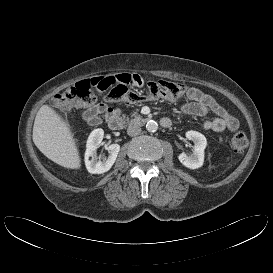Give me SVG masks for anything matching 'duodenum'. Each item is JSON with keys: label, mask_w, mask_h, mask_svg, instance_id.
Instances as JSON below:
<instances>
[{"label": "duodenum", "mask_w": 273, "mask_h": 273, "mask_svg": "<svg viewBox=\"0 0 273 273\" xmlns=\"http://www.w3.org/2000/svg\"><path fill=\"white\" fill-rule=\"evenodd\" d=\"M106 118H107V123L110 129L112 130H115V131L121 130L125 125V121L117 115H113V114L106 115ZM149 121H150V118L148 116H135L130 118L128 120V123L132 125H137V126H145L146 124L149 123ZM161 125L164 128H167L171 125V122L167 119H162Z\"/></svg>", "instance_id": "obj_1"}]
</instances>
